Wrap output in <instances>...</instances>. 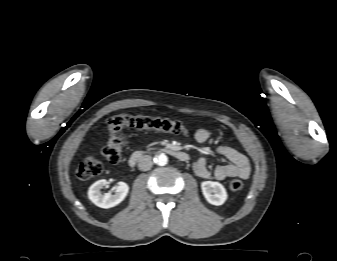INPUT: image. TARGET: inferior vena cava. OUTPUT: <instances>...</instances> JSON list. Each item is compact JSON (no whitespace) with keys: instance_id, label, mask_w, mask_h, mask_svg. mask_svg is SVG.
Returning a JSON list of instances; mask_svg holds the SVG:
<instances>
[{"instance_id":"obj_1","label":"inferior vena cava","mask_w":337,"mask_h":261,"mask_svg":"<svg viewBox=\"0 0 337 261\" xmlns=\"http://www.w3.org/2000/svg\"><path fill=\"white\" fill-rule=\"evenodd\" d=\"M152 165H153V161L150 155H143L138 160V168L141 171L150 170Z\"/></svg>"}]
</instances>
